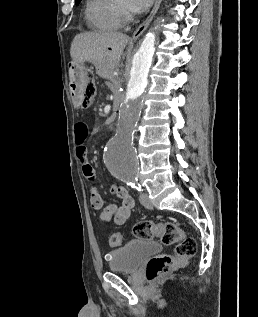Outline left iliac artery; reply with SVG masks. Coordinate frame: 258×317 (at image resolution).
I'll use <instances>...</instances> for the list:
<instances>
[{
  "label": "left iliac artery",
  "mask_w": 258,
  "mask_h": 317,
  "mask_svg": "<svg viewBox=\"0 0 258 317\" xmlns=\"http://www.w3.org/2000/svg\"><path fill=\"white\" fill-rule=\"evenodd\" d=\"M122 180L129 186H131L134 190L143 192L144 189L138 182L137 177H123Z\"/></svg>",
  "instance_id": "44dca946"
}]
</instances>
